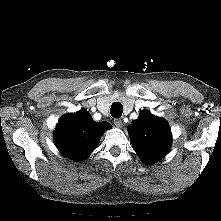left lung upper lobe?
I'll return each mask as SVG.
<instances>
[{
	"label": "left lung upper lobe",
	"mask_w": 221,
	"mask_h": 221,
	"mask_svg": "<svg viewBox=\"0 0 221 221\" xmlns=\"http://www.w3.org/2000/svg\"><path fill=\"white\" fill-rule=\"evenodd\" d=\"M133 149L146 164H152L169 152L172 134L162 118L143 111L128 127Z\"/></svg>",
	"instance_id": "1"
}]
</instances>
